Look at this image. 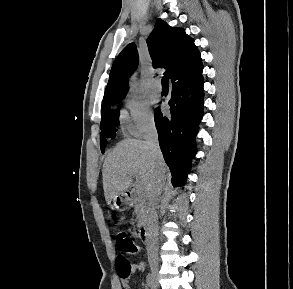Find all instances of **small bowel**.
<instances>
[{
	"instance_id": "obj_1",
	"label": "small bowel",
	"mask_w": 293,
	"mask_h": 289,
	"mask_svg": "<svg viewBox=\"0 0 293 289\" xmlns=\"http://www.w3.org/2000/svg\"><path fill=\"white\" fill-rule=\"evenodd\" d=\"M133 269L135 271H144L145 270V264L143 262H138L134 264ZM122 289H129L128 281L126 279H123L121 282Z\"/></svg>"
}]
</instances>
